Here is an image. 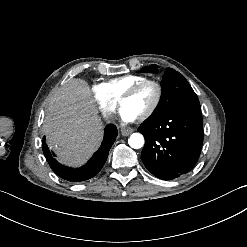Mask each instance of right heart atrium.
<instances>
[{"mask_svg":"<svg viewBox=\"0 0 247 247\" xmlns=\"http://www.w3.org/2000/svg\"><path fill=\"white\" fill-rule=\"evenodd\" d=\"M95 102L99 105V110L103 115H108L116 109L117 101L107 94V89L101 84H96L92 88Z\"/></svg>","mask_w":247,"mask_h":247,"instance_id":"1","label":"right heart atrium"}]
</instances>
